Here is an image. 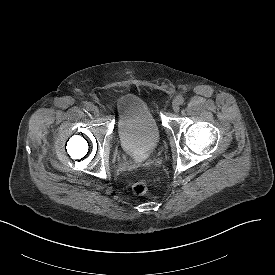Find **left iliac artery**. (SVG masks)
Wrapping results in <instances>:
<instances>
[{
	"instance_id": "44dca946",
	"label": "left iliac artery",
	"mask_w": 275,
	"mask_h": 275,
	"mask_svg": "<svg viewBox=\"0 0 275 275\" xmlns=\"http://www.w3.org/2000/svg\"><path fill=\"white\" fill-rule=\"evenodd\" d=\"M176 100L179 103V105H182L184 103V98L182 96H177Z\"/></svg>"
}]
</instances>
